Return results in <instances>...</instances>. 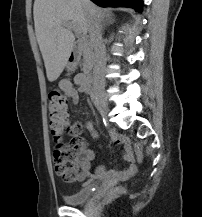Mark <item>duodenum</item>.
Wrapping results in <instances>:
<instances>
[{
  "instance_id": "obj_1",
  "label": "duodenum",
  "mask_w": 202,
  "mask_h": 217,
  "mask_svg": "<svg viewBox=\"0 0 202 217\" xmlns=\"http://www.w3.org/2000/svg\"><path fill=\"white\" fill-rule=\"evenodd\" d=\"M81 57V51L78 49L77 46H74L69 54V62L70 64L74 65L77 63V61L80 59ZM82 86L84 88V90L86 92L90 91V87H91V81L90 79H88L87 77H85L84 75L82 76Z\"/></svg>"
}]
</instances>
